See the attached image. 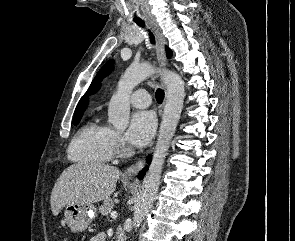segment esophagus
Segmentation results:
<instances>
[{"label":"esophagus","mask_w":295,"mask_h":241,"mask_svg":"<svg viewBox=\"0 0 295 241\" xmlns=\"http://www.w3.org/2000/svg\"><path fill=\"white\" fill-rule=\"evenodd\" d=\"M150 25L153 28L155 38H156V51L159 65L164 69L167 65V58L165 53V39L154 20H149ZM160 114L162 113V107L160 109ZM145 164V155L139 158L134 164L127 168L124 172L123 177L125 178H134Z\"/></svg>","instance_id":"esophagus-1"}]
</instances>
